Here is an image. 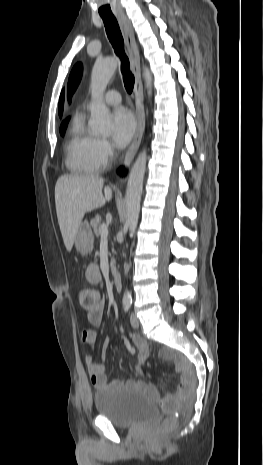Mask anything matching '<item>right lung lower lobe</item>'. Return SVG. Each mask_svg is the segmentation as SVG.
<instances>
[{"label":"right lung lower lobe","mask_w":263,"mask_h":465,"mask_svg":"<svg viewBox=\"0 0 263 465\" xmlns=\"http://www.w3.org/2000/svg\"><path fill=\"white\" fill-rule=\"evenodd\" d=\"M119 172H120V173H121V172L123 173V172H124V169H123V168H122V169H120V170H119Z\"/></svg>","instance_id":"obj_1"}]
</instances>
